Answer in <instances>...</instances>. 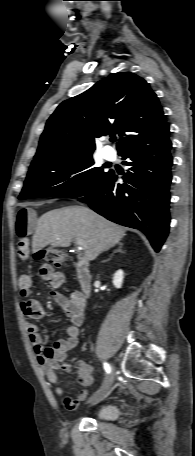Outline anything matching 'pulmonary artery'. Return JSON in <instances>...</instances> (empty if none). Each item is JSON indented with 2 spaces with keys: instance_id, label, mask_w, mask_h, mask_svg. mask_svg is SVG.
Returning a JSON list of instances; mask_svg holds the SVG:
<instances>
[{
  "instance_id": "1",
  "label": "pulmonary artery",
  "mask_w": 195,
  "mask_h": 456,
  "mask_svg": "<svg viewBox=\"0 0 195 456\" xmlns=\"http://www.w3.org/2000/svg\"><path fill=\"white\" fill-rule=\"evenodd\" d=\"M102 154L104 158L107 160H111L115 156L114 150L110 146L103 147Z\"/></svg>"
}]
</instances>
